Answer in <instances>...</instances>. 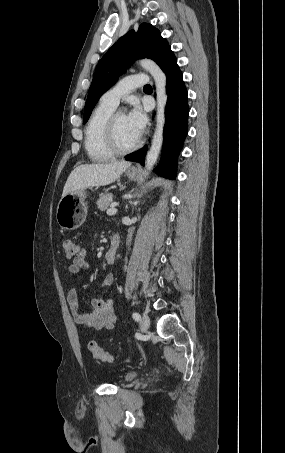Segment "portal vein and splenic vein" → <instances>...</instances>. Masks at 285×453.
I'll return each instance as SVG.
<instances>
[{
    "label": "portal vein and splenic vein",
    "mask_w": 285,
    "mask_h": 453,
    "mask_svg": "<svg viewBox=\"0 0 285 453\" xmlns=\"http://www.w3.org/2000/svg\"><path fill=\"white\" fill-rule=\"evenodd\" d=\"M116 212H117V209L115 207H111L110 209L107 210L106 213L108 215H114V214H116Z\"/></svg>",
    "instance_id": "portal-vein-and-splenic-vein-1"
}]
</instances>
